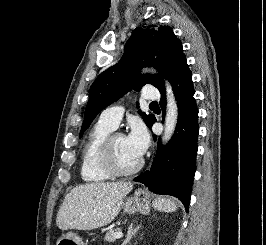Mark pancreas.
I'll return each instance as SVG.
<instances>
[{"label":"pancreas","instance_id":"cf45deb5","mask_svg":"<svg viewBox=\"0 0 266 245\" xmlns=\"http://www.w3.org/2000/svg\"><path fill=\"white\" fill-rule=\"evenodd\" d=\"M116 233H121L120 229H112V231H107L104 241H108V243H115V241H117Z\"/></svg>","mask_w":266,"mask_h":245}]
</instances>
